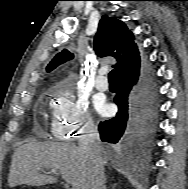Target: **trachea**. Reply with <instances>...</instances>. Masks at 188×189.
Masks as SVG:
<instances>
[{
    "instance_id": "trachea-1",
    "label": "trachea",
    "mask_w": 188,
    "mask_h": 189,
    "mask_svg": "<svg viewBox=\"0 0 188 189\" xmlns=\"http://www.w3.org/2000/svg\"><path fill=\"white\" fill-rule=\"evenodd\" d=\"M109 82H111V83H116L117 82V75H116L115 70H112L109 73Z\"/></svg>"
}]
</instances>
